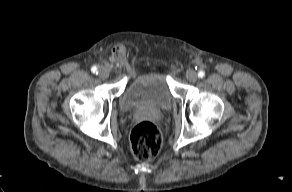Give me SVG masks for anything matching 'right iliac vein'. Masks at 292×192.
Instances as JSON below:
<instances>
[{"label":"right iliac vein","instance_id":"1","mask_svg":"<svg viewBox=\"0 0 292 192\" xmlns=\"http://www.w3.org/2000/svg\"><path fill=\"white\" fill-rule=\"evenodd\" d=\"M98 75L101 79H107L109 77V72L106 69H100Z\"/></svg>","mask_w":292,"mask_h":192}]
</instances>
